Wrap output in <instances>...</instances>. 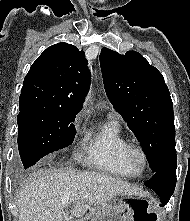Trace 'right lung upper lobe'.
Here are the masks:
<instances>
[{"label": "right lung upper lobe", "instance_id": "1", "mask_svg": "<svg viewBox=\"0 0 190 221\" xmlns=\"http://www.w3.org/2000/svg\"><path fill=\"white\" fill-rule=\"evenodd\" d=\"M85 53L60 42L48 47L32 64L19 98L20 112L50 109L79 112L90 85Z\"/></svg>", "mask_w": 190, "mask_h": 221}]
</instances>
